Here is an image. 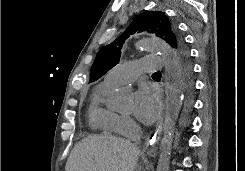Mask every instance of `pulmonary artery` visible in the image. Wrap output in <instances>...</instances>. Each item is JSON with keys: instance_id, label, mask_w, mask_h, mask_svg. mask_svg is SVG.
<instances>
[{"instance_id": "pulmonary-artery-1", "label": "pulmonary artery", "mask_w": 245, "mask_h": 171, "mask_svg": "<svg viewBox=\"0 0 245 171\" xmlns=\"http://www.w3.org/2000/svg\"><path fill=\"white\" fill-rule=\"evenodd\" d=\"M164 59L159 55H149L141 59L117 65L110 70L104 82L111 86L128 83L137 78L142 72H153L162 69Z\"/></svg>"}]
</instances>
